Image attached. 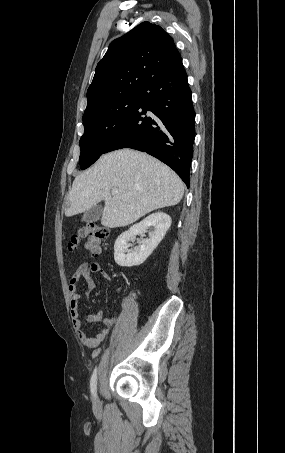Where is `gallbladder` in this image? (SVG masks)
<instances>
[{
    "mask_svg": "<svg viewBox=\"0 0 285 453\" xmlns=\"http://www.w3.org/2000/svg\"><path fill=\"white\" fill-rule=\"evenodd\" d=\"M102 211H103L102 206L95 205L84 213V215L82 217V221L95 222L100 219V217L102 215Z\"/></svg>",
    "mask_w": 285,
    "mask_h": 453,
    "instance_id": "1",
    "label": "gallbladder"
}]
</instances>
